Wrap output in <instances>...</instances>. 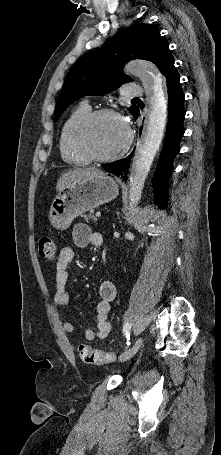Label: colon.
<instances>
[{
	"mask_svg": "<svg viewBox=\"0 0 221 455\" xmlns=\"http://www.w3.org/2000/svg\"><path fill=\"white\" fill-rule=\"evenodd\" d=\"M39 255L49 261L57 258L56 246L53 239L49 236H42L38 242ZM78 353L83 362L92 365H105L115 359L112 353L93 349L86 344L78 346Z\"/></svg>",
	"mask_w": 221,
	"mask_h": 455,
	"instance_id": "5ec220e1",
	"label": "colon"
}]
</instances>
